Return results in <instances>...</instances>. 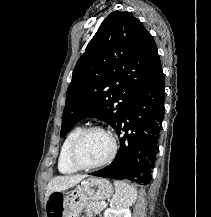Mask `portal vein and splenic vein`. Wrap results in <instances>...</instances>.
Wrapping results in <instances>:
<instances>
[{
	"mask_svg": "<svg viewBox=\"0 0 211 217\" xmlns=\"http://www.w3.org/2000/svg\"><path fill=\"white\" fill-rule=\"evenodd\" d=\"M101 205H105V203H101Z\"/></svg>",
	"mask_w": 211,
	"mask_h": 217,
	"instance_id": "portal-vein-and-splenic-vein-1",
	"label": "portal vein and splenic vein"
}]
</instances>
